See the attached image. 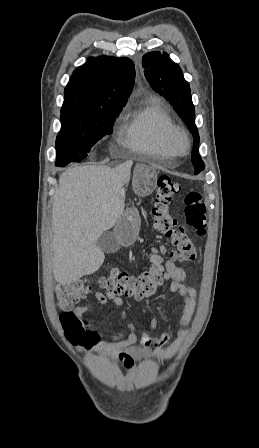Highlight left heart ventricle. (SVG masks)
Returning <instances> with one entry per match:
<instances>
[{
	"instance_id": "1",
	"label": "left heart ventricle",
	"mask_w": 259,
	"mask_h": 448,
	"mask_svg": "<svg viewBox=\"0 0 259 448\" xmlns=\"http://www.w3.org/2000/svg\"><path fill=\"white\" fill-rule=\"evenodd\" d=\"M178 146H182V141L180 139H178L177 141ZM148 156L150 157H157L159 155V151L157 150H149L145 152ZM182 151L178 150L176 151L173 155H172V161H177L178 159H180L182 157Z\"/></svg>"
}]
</instances>
